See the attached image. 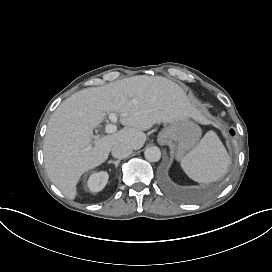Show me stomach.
Here are the masks:
<instances>
[{"mask_svg": "<svg viewBox=\"0 0 272 272\" xmlns=\"http://www.w3.org/2000/svg\"><path fill=\"white\" fill-rule=\"evenodd\" d=\"M201 135V130L198 125L190 120H179L169 123V125L159 132L157 140L160 143L172 141L177 144V158L192 148Z\"/></svg>", "mask_w": 272, "mask_h": 272, "instance_id": "obj_1", "label": "stomach"}]
</instances>
